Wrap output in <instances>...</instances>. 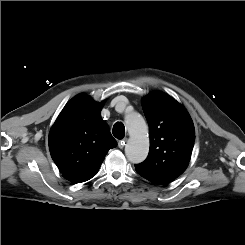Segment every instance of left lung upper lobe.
Returning <instances> with one entry per match:
<instances>
[{"label":"left lung upper lobe","instance_id":"5c2ea615","mask_svg":"<svg viewBox=\"0 0 245 245\" xmlns=\"http://www.w3.org/2000/svg\"><path fill=\"white\" fill-rule=\"evenodd\" d=\"M142 107L150 130L146 160L136 164L140 172L173 181L188 167L195 140L193 121L174 98L153 92L143 98Z\"/></svg>","mask_w":245,"mask_h":245}]
</instances>
